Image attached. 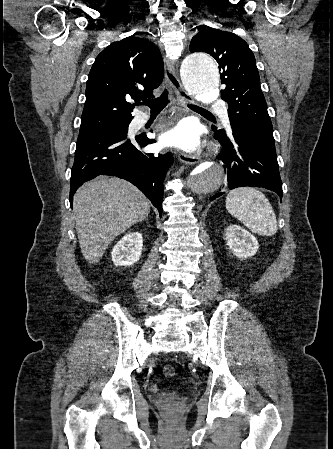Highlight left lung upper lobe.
<instances>
[{"mask_svg": "<svg viewBox=\"0 0 333 449\" xmlns=\"http://www.w3.org/2000/svg\"><path fill=\"white\" fill-rule=\"evenodd\" d=\"M190 51L206 52L218 62L221 83L226 86L221 98L229 105L232 132L255 133L275 144L256 60L247 43L234 33L206 28L192 38Z\"/></svg>", "mask_w": 333, "mask_h": 449, "instance_id": "5c2ea615", "label": "left lung upper lobe"}]
</instances>
